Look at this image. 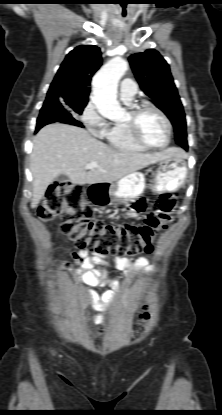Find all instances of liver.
Here are the masks:
<instances>
[{"mask_svg":"<svg viewBox=\"0 0 222 415\" xmlns=\"http://www.w3.org/2000/svg\"><path fill=\"white\" fill-rule=\"evenodd\" d=\"M172 156H184L180 148L140 153L117 150L77 126L53 123L34 137L30 156L33 176L31 208H36L47 187L59 175L74 184L112 183L122 177ZM99 167L85 169L88 163Z\"/></svg>","mask_w":222,"mask_h":415,"instance_id":"liver-1","label":"liver"}]
</instances>
